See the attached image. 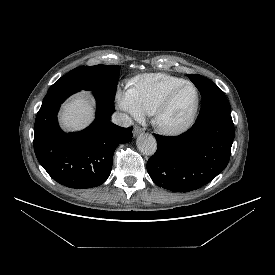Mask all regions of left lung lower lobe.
Here are the masks:
<instances>
[{
	"mask_svg": "<svg viewBox=\"0 0 275 275\" xmlns=\"http://www.w3.org/2000/svg\"><path fill=\"white\" fill-rule=\"evenodd\" d=\"M234 135L231 115L197 119L179 136L155 135L158 147L147 171L156 185L170 191L198 189L226 168Z\"/></svg>",
	"mask_w": 275,
	"mask_h": 275,
	"instance_id": "0a47b994",
	"label": "left lung lower lobe"
}]
</instances>
